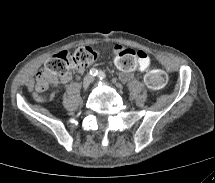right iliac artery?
<instances>
[{
	"instance_id": "82829eb1",
	"label": "right iliac artery",
	"mask_w": 215,
	"mask_h": 183,
	"mask_svg": "<svg viewBox=\"0 0 215 183\" xmlns=\"http://www.w3.org/2000/svg\"><path fill=\"white\" fill-rule=\"evenodd\" d=\"M90 74H91L92 76H96V75H98V70H97L96 68H92V69L90 70Z\"/></svg>"
}]
</instances>
